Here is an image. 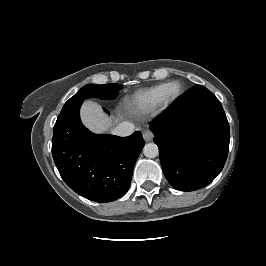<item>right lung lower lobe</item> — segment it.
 <instances>
[{"label":"right lung lower lobe","instance_id":"1","mask_svg":"<svg viewBox=\"0 0 266 266\" xmlns=\"http://www.w3.org/2000/svg\"><path fill=\"white\" fill-rule=\"evenodd\" d=\"M81 105L59 114L52 138L53 159L76 193L91 201L111 202L128 191L145 142L140 132L128 137L91 133L80 120Z\"/></svg>","mask_w":266,"mask_h":266}]
</instances>
